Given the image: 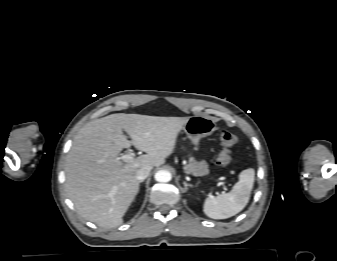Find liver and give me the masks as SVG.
<instances>
[{
  "label": "liver",
  "instance_id": "6515ba94",
  "mask_svg": "<svg viewBox=\"0 0 337 261\" xmlns=\"http://www.w3.org/2000/svg\"><path fill=\"white\" fill-rule=\"evenodd\" d=\"M189 118L116 113L82 127L64 168L65 189L79 215L100 227L120 226L139 190L137 170L164 164ZM131 145L147 154L123 163L119 153Z\"/></svg>",
  "mask_w": 337,
  "mask_h": 261
}]
</instances>
